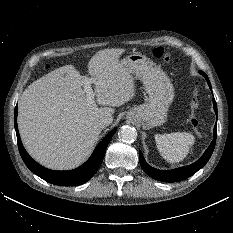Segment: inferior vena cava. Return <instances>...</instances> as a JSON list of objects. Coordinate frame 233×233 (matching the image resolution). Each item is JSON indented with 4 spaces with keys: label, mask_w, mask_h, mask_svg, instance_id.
<instances>
[{
    "label": "inferior vena cava",
    "mask_w": 233,
    "mask_h": 233,
    "mask_svg": "<svg viewBox=\"0 0 233 233\" xmlns=\"http://www.w3.org/2000/svg\"><path fill=\"white\" fill-rule=\"evenodd\" d=\"M113 121V118L112 117H108V116H103V117H100L98 120H97V126L101 129L109 126Z\"/></svg>",
    "instance_id": "obj_1"
}]
</instances>
